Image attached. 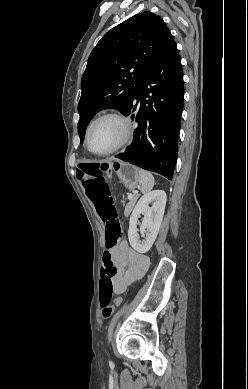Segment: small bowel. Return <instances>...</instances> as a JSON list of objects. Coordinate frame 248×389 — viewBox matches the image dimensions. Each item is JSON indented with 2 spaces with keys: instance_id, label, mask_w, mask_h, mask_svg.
<instances>
[{
  "instance_id": "small-bowel-1",
  "label": "small bowel",
  "mask_w": 248,
  "mask_h": 389,
  "mask_svg": "<svg viewBox=\"0 0 248 389\" xmlns=\"http://www.w3.org/2000/svg\"><path fill=\"white\" fill-rule=\"evenodd\" d=\"M117 276L113 280L114 293L120 295L133 282L141 279L150 266L147 255L134 250L127 241H122L110 249Z\"/></svg>"
}]
</instances>
